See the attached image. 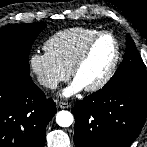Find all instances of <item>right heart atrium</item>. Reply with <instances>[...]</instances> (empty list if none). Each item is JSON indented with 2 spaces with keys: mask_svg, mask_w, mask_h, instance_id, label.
I'll return each mask as SVG.
<instances>
[{
  "mask_svg": "<svg viewBox=\"0 0 147 147\" xmlns=\"http://www.w3.org/2000/svg\"><path fill=\"white\" fill-rule=\"evenodd\" d=\"M29 67L37 82L47 90L56 89L70 76V71L47 52L32 53L29 57Z\"/></svg>",
  "mask_w": 147,
  "mask_h": 147,
  "instance_id": "right-heart-atrium-1",
  "label": "right heart atrium"
}]
</instances>
